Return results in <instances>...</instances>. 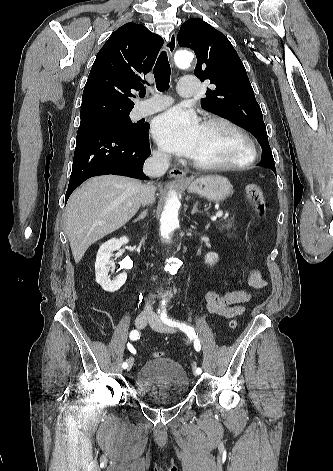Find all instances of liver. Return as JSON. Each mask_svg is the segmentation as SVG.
Here are the masks:
<instances>
[{
	"mask_svg": "<svg viewBox=\"0 0 333 471\" xmlns=\"http://www.w3.org/2000/svg\"><path fill=\"white\" fill-rule=\"evenodd\" d=\"M143 184L117 175L93 177L69 198L65 230L76 263L96 241L124 226L141 205Z\"/></svg>",
	"mask_w": 333,
	"mask_h": 471,
	"instance_id": "1",
	"label": "liver"
}]
</instances>
